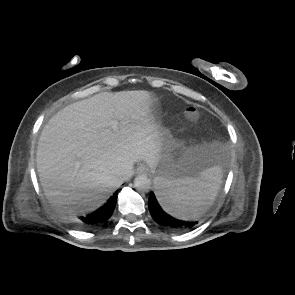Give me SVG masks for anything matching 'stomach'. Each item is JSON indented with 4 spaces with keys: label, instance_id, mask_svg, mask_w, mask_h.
Returning a JSON list of instances; mask_svg holds the SVG:
<instances>
[{
    "label": "stomach",
    "instance_id": "0dacf381",
    "mask_svg": "<svg viewBox=\"0 0 295 295\" xmlns=\"http://www.w3.org/2000/svg\"><path fill=\"white\" fill-rule=\"evenodd\" d=\"M162 148L152 172L167 179L198 178L212 166L205 146H186L177 141L169 129L161 127Z\"/></svg>",
    "mask_w": 295,
    "mask_h": 295
}]
</instances>
